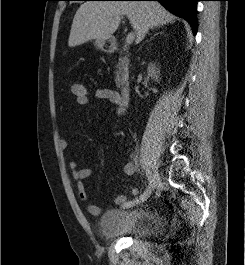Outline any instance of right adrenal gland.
I'll return each mask as SVG.
<instances>
[{"label": "right adrenal gland", "mask_w": 245, "mask_h": 265, "mask_svg": "<svg viewBox=\"0 0 245 265\" xmlns=\"http://www.w3.org/2000/svg\"><path fill=\"white\" fill-rule=\"evenodd\" d=\"M159 33L162 34L163 32H159ZM159 33L154 34V36L158 35Z\"/></svg>", "instance_id": "1"}]
</instances>
